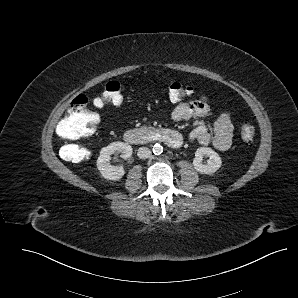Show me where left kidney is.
<instances>
[{"label": "left kidney", "mask_w": 298, "mask_h": 298, "mask_svg": "<svg viewBox=\"0 0 298 298\" xmlns=\"http://www.w3.org/2000/svg\"><path fill=\"white\" fill-rule=\"evenodd\" d=\"M208 156L206 164H203V157ZM222 164L220 156L209 147H200L195 152V158L193 159L194 168L201 174H212L216 172Z\"/></svg>", "instance_id": "1"}]
</instances>
